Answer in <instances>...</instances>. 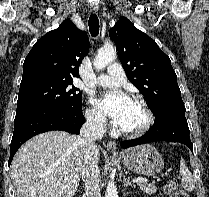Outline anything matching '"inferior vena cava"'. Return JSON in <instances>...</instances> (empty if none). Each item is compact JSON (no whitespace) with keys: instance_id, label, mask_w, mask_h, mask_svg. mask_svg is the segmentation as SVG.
<instances>
[{"instance_id":"obj_1","label":"inferior vena cava","mask_w":209,"mask_h":197,"mask_svg":"<svg viewBox=\"0 0 209 197\" xmlns=\"http://www.w3.org/2000/svg\"><path fill=\"white\" fill-rule=\"evenodd\" d=\"M106 130V121L101 114L89 116L81 127L78 142L85 149V162L82 170V180L85 186V196L101 197L100 170L96 159V140L101 139ZM84 196V197H85Z\"/></svg>"}]
</instances>
